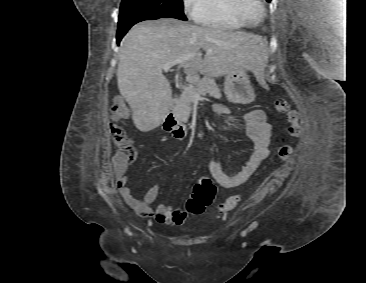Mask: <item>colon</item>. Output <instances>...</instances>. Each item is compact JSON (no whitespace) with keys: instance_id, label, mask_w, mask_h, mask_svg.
<instances>
[{"instance_id":"colon-1","label":"colon","mask_w":366,"mask_h":283,"mask_svg":"<svg viewBox=\"0 0 366 283\" xmlns=\"http://www.w3.org/2000/svg\"><path fill=\"white\" fill-rule=\"evenodd\" d=\"M275 111L284 116L288 122L286 133L289 137H295L299 133L298 113L284 99H279L275 103ZM111 137L114 145L118 148L113 160L121 167H128L136 155V148L127 136L125 129L118 124L128 114L126 105L121 100H115L111 106ZM292 153V146L285 140H282L278 148V157L281 161H286ZM216 186L208 177H201L194 186L192 195L186 202V211L192 215H199L211 204L215 197ZM240 197L233 195L228 197L219 206L220 212H228L234 209Z\"/></svg>"}]
</instances>
